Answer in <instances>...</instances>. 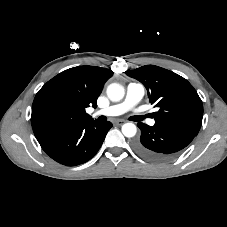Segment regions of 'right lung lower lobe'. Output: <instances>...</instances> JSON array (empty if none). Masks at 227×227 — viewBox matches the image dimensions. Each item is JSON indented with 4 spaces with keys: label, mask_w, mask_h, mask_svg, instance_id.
I'll return each instance as SVG.
<instances>
[{
    "label": "right lung lower lobe",
    "mask_w": 227,
    "mask_h": 227,
    "mask_svg": "<svg viewBox=\"0 0 227 227\" xmlns=\"http://www.w3.org/2000/svg\"><path fill=\"white\" fill-rule=\"evenodd\" d=\"M111 127L110 122L92 121L54 132L39 143L58 163L75 166L87 162L98 152Z\"/></svg>",
    "instance_id": "1"
}]
</instances>
